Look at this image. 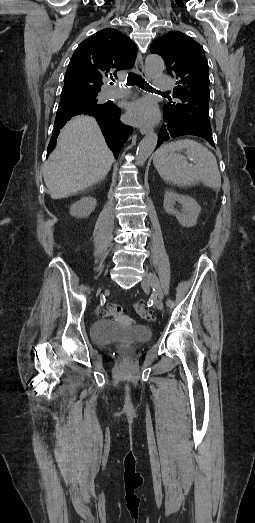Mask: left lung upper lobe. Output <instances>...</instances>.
<instances>
[{
  "mask_svg": "<svg viewBox=\"0 0 255 523\" xmlns=\"http://www.w3.org/2000/svg\"><path fill=\"white\" fill-rule=\"evenodd\" d=\"M150 50L164 59L168 74L180 84L173 90V96L178 100L170 99L163 111L169 109L171 118H182V121L201 125L204 130H215L210 126V80L202 46L182 32L170 31L154 40Z\"/></svg>",
  "mask_w": 255,
  "mask_h": 523,
  "instance_id": "1",
  "label": "left lung upper lobe"
}]
</instances>
